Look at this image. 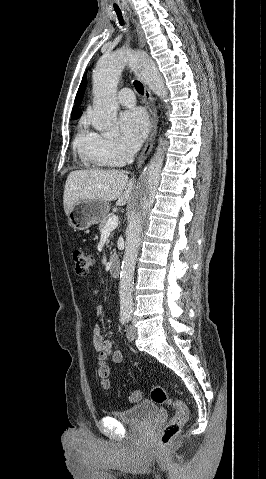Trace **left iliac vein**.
I'll list each match as a JSON object with an SVG mask.
<instances>
[{"instance_id":"left-iliac-vein-1","label":"left iliac vein","mask_w":266,"mask_h":479,"mask_svg":"<svg viewBox=\"0 0 266 479\" xmlns=\"http://www.w3.org/2000/svg\"><path fill=\"white\" fill-rule=\"evenodd\" d=\"M137 330L133 326H129L126 331V337L129 341H132L136 338Z\"/></svg>"}]
</instances>
